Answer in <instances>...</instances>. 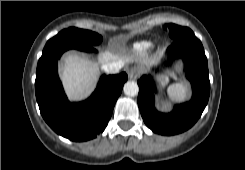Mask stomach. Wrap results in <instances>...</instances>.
I'll list each match as a JSON object with an SVG mask.
<instances>
[{
    "label": "stomach",
    "instance_id": "1",
    "mask_svg": "<svg viewBox=\"0 0 245 170\" xmlns=\"http://www.w3.org/2000/svg\"><path fill=\"white\" fill-rule=\"evenodd\" d=\"M158 80L159 81H162V83H165L168 81V77L167 76H163L162 74L161 75H158Z\"/></svg>",
    "mask_w": 245,
    "mask_h": 170
}]
</instances>
